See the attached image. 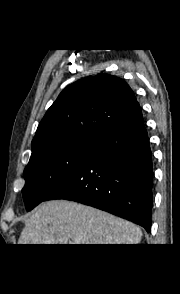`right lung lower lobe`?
Returning <instances> with one entry per match:
<instances>
[{
	"label": "right lung lower lobe",
	"instance_id": "obj_1",
	"mask_svg": "<svg viewBox=\"0 0 180 294\" xmlns=\"http://www.w3.org/2000/svg\"><path fill=\"white\" fill-rule=\"evenodd\" d=\"M153 166L140 107L104 135L46 200L66 199L110 212L151 231Z\"/></svg>",
	"mask_w": 180,
	"mask_h": 294
}]
</instances>
